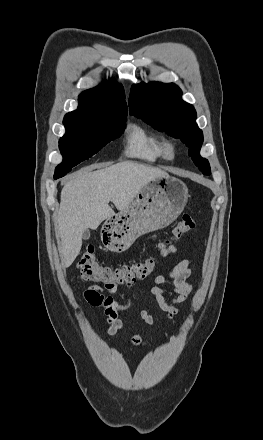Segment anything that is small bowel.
I'll return each instance as SVG.
<instances>
[{"label": "small bowel", "instance_id": "c3829d8e", "mask_svg": "<svg viewBox=\"0 0 263 440\" xmlns=\"http://www.w3.org/2000/svg\"><path fill=\"white\" fill-rule=\"evenodd\" d=\"M176 252L174 245L162 248L158 256L165 258ZM190 260H182L174 266L168 276L157 275L154 278V285L151 287V294L156 302L158 310L163 312L168 318L172 319L180 313V309L175 305L185 302L192 290V268ZM171 283V284H169ZM116 288L106 286L89 285L83 291V299L92 307H103L107 321V333L111 336L117 334L123 328V323L119 319V314L127 311L131 307V298L126 297L125 302H119L112 294ZM140 317L148 324H154V318L146 310L140 311ZM131 343L135 347L145 345L141 335L132 336Z\"/></svg>", "mask_w": 263, "mask_h": 440}]
</instances>
